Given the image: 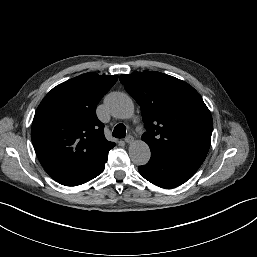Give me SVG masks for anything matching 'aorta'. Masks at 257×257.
I'll use <instances>...</instances> for the list:
<instances>
[{
    "mask_svg": "<svg viewBox=\"0 0 257 257\" xmlns=\"http://www.w3.org/2000/svg\"><path fill=\"white\" fill-rule=\"evenodd\" d=\"M106 107L109 113L119 119H128L134 113L132 99L125 93L115 92L106 98ZM129 156L136 165H145L151 157V151L144 141H135L129 146Z\"/></svg>",
    "mask_w": 257,
    "mask_h": 257,
    "instance_id": "obj_1",
    "label": "aorta"
}]
</instances>
